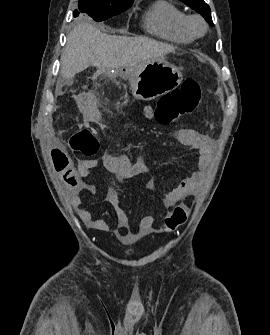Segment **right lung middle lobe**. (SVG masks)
<instances>
[{"label": "right lung middle lobe", "instance_id": "dd1d6c3e", "mask_svg": "<svg viewBox=\"0 0 270 335\" xmlns=\"http://www.w3.org/2000/svg\"><path fill=\"white\" fill-rule=\"evenodd\" d=\"M132 3L133 2L127 4H101L97 0H79L78 10L73 12V16L77 17L81 14L87 19L101 22L124 12Z\"/></svg>", "mask_w": 270, "mask_h": 335}]
</instances>
